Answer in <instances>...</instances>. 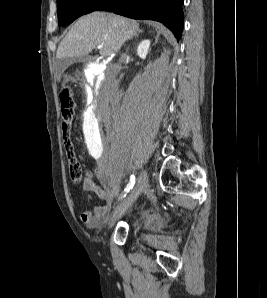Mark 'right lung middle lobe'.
Masks as SVG:
<instances>
[{
	"mask_svg": "<svg viewBox=\"0 0 267 298\" xmlns=\"http://www.w3.org/2000/svg\"><path fill=\"white\" fill-rule=\"evenodd\" d=\"M104 0H57L59 26L72 23L78 17L95 11Z\"/></svg>",
	"mask_w": 267,
	"mask_h": 298,
	"instance_id": "1",
	"label": "right lung middle lobe"
}]
</instances>
